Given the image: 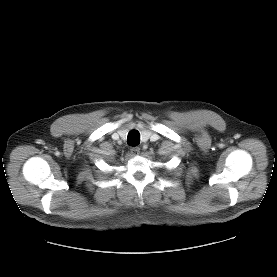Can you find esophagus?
Instances as JSON below:
<instances>
[{"label":"esophagus","instance_id":"esophagus-1","mask_svg":"<svg viewBox=\"0 0 277 277\" xmlns=\"http://www.w3.org/2000/svg\"><path fill=\"white\" fill-rule=\"evenodd\" d=\"M130 150L133 155H138L140 153L139 147H132Z\"/></svg>","mask_w":277,"mask_h":277}]
</instances>
